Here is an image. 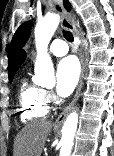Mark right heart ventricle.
<instances>
[{
    "instance_id": "1",
    "label": "right heart ventricle",
    "mask_w": 114,
    "mask_h": 156,
    "mask_svg": "<svg viewBox=\"0 0 114 156\" xmlns=\"http://www.w3.org/2000/svg\"><path fill=\"white\" fill-rule=\"evenodd\" d=\"M18 107L24 123L45 117L48 113L45 90L23 77L19 84Z\"/></svg>"
}]
</instances>
